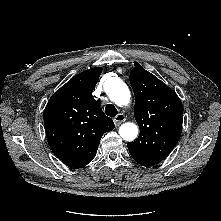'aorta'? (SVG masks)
<instances>
[{"instance_id": "aorta-1", "label": "aorta", "mask_w": 221, "mask_h": 221, "mask_svg": "<svg viewBox=\"0 0 221 221\" xmlns=\"http://www.w3.org/2000/svg\"><path fill=\"white\" fill-rule=\"evenodd\" d=\"M104 90L110 100L118 106L127 105L130 101V90L128 86L118 77H111L104 83ZM119 134L126 141H133L138 134L136 124L128 122L124 123L119 128Z\"/></svg>"}]
</instances>
